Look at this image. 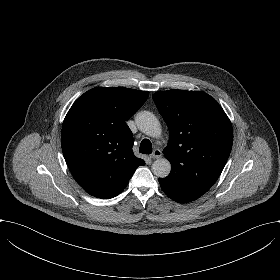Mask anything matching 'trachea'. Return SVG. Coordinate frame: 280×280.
I'll return each mask as SVG.
<instances>
[{
	"mask_svg": "<svg viewBox=\"0 0 280 280\" xmlns=\"http://www.w3.org/2000/svg\"><path fill=\"white\" fill-rule=\"evenodd\" d=\"M139 152L142 154H151L152 153V144L148 139H143L141 141Z\"/></svg>",
	"mask_w": 280,
	"mask_h": 280,
	"instance_id": "1",
	"label": "trachea"
}]
</instances>
